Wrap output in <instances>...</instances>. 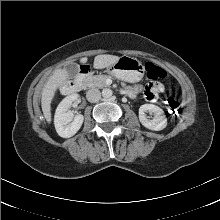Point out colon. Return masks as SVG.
<instances>
[{"mask_svg": "<svg viewBox=\"0 0 220 220\" xmlns=\"http://www.w3.org/2000/svg\"><path fill=\"white\" fill-rule=\"evenodd\" d=\"M145 71L148 79H150L155 84L158 80L164 78L166 75V72L163 68L152 62L146 63ZM165 104L167 113L171 118H174L179 114L180 102L175 97H168Z\"/></svg>", "mask_w": 220, "mask_h": 220, "instance_id": "obj_1", "label": "colon"}]
</instances>
